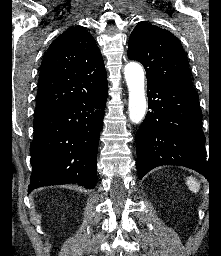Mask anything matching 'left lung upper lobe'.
Segmentation results:
<instances>
[{
    "label": "left lung upper lobe",
    "instance_id": "1",
    "mask_svg": "<svg viewBox=\"0 0 221 256\" xmlns=\"http://www.w3.org/2000/svg\"><path fill=\"white\" fill-rule=\"evenodd\" d=\"M128 58L146 69L148 82L192 87L189 64L179 40L169 31L140 22L129 38Z\"/></svg>",
    "mask_w": 221,
    "mask_h": 256
}]
</instances>
